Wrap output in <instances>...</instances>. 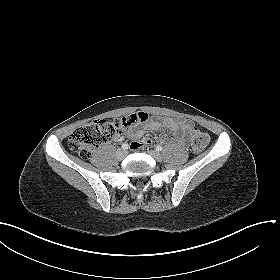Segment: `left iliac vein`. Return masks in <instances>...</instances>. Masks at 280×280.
Here are the masks:
<instances>
[{"instance_id":"4c4485c4","label":"left iliac vein","mask_w":280,"mask_h":280,"mask_svg":"<svg viewBox=\"0 0 280 280\" xmlns=\"http://www.w3.org/2000/svg\"><path fill=\"white\" fill-rule=\"evenodd\" d=\"M148 153L158 162L162 161L163 159L162 155L158 151L150 150Z\"/></svg>"}]
</instances>
